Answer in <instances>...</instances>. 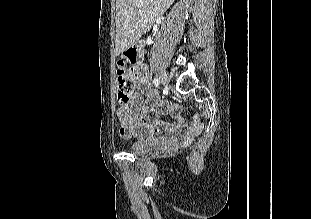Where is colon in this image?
<instances>
[{
  "label": "colon",
  "mask_w": 311,
  "mask_h": 219,
  "mask_svg": "<svg viewBox=\"0 0 311 219\" xmlns=\"http://www.w3.org/2000/svg\"><path fill=\"white\" fill-rule=\"evenodd\" d=\"M129 49L127 55L129 56L130 60L133 61L134 57L130 54ZM116 75H117L118 102L120 106L127 105L128 102L130 101L131 94L133 91L132 69H129L126 66L125 62L120 61L118 62Z\"/></svg>",
  "instance_id": "colon-1"
}]
</instances>
